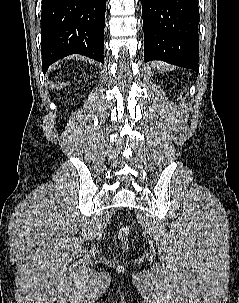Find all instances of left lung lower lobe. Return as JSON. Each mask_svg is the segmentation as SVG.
Wrapping results in <instances>:
<instances>
[{
    "mask_svg": "<svg viewBox=\"0 0 239 303\" xmlns=\"http://www.w3.org/2000/svg\"><path fill=\"white\" fill-rule=\"evenodd\" d=\"M144 61L199 72L198 0H142Z\"/></svg>",
    "mask_w": 239,
    "mask_h": 303,
    "instance_id": "1",
    "label": "left lung lower lobe"
}]
</instances>
